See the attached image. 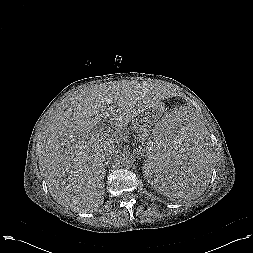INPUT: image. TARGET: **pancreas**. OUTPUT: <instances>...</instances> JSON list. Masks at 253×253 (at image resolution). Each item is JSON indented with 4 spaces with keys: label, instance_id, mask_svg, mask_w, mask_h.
<instances>
[{
    "label": "pancreas",
    "instance_id": "obj_1",
    "mask_svg": "<svg viewBox=\"0 0 253 253\" xmlns=\"http://www.w3.org/2000/svg\"><path fill=\"white\" fill-rule=\"evenodd\" d=\"M133 131H135L137 134H139V141L145 146L143 148V151L146 153V155H149L151 153L150 149L148 148V143L146 141L148 132L150 130L149 124H146L142 121L136 122L133 124L132 128Z\"/></svg>",
    "mask_w": 253,
    "mask_h": 253
}]
</instances>
